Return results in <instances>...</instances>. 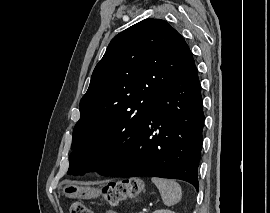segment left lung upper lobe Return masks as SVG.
<instances>
[{
    "label": "left lung upper lobe",
    "instance_id": "5c2ea615",
    "mask_svg": "<svg viewBox=\"0 0 270 213\" xmlns=\"http://www.w3.org/2000/svg\"><path fill=\"white\" fill-rule=\"evenodd\" d=\"M193 64L187 43L164 20L145 19L116 35L80 101L68 173L90 171L107 146L129 139L171 82Z\"/></svg>",
    "mask_w": 270,
    "mask_h": 213
}]
</instances>
